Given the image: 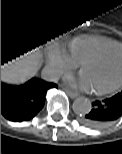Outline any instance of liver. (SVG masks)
<instances>
[{
  "label": "liver",
  "mask_w": 122,
  "mask_h": 154,
  "mask_svg": "<svg viewBox=\"0 0 122 154\" xmlns=\"http://www.w3.org/2000/svg\"><path fill=\"white\" fill-rule=\"evenodd\" d=\"M41 66L38 47L1 64V80L9 83H23L33 77Z\"/></svg>",
  "instance_id": "obj_1"
}]
</instances>
